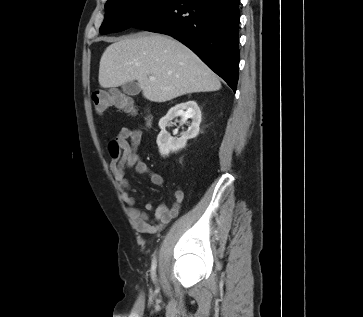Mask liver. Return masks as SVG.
Segmentation results:
<instances>
[{"instance_id": "obj_1", "label": "liver", "mask_w": 363, "mask_h": 317, "mask_svg": "<svg viewBox=\"0 0 363 317\" xmlns=\"http://www.w3.org/2000/svg\"><path fill=\"white\" fill-rule=\"evenodd\" d=\"M150 76L156 80L150 81ZM134 80L143 96L153 102L221 88L218 77L195 53L160 34L125 37L104 51L99 66L101 87L114 88Z\"/></svg>"}]
</instances>
